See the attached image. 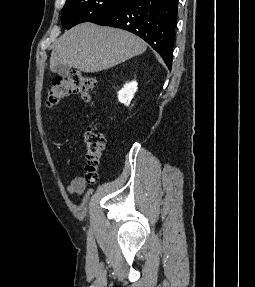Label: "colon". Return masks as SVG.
Segmentation results:
<instances>
[{"mask_svg":"<svg viewBox=\"0 0 255 287\" xmlns=\"http://www.w3.org/2000/svg\"><path fill=\"white\" fill-rule=\"evenodd\" d=\"M95 88L96 81L93 78L84 76L79 71H71L67 77L53 81L46 95V104L48 107H55L71 94H80L85 102H89ZM84 141L87 160L85 180L94 183L98 179L97 169L104 151L105 138L100 132L88 127Z\"/></svg>","mask_w":255,"mask_h":287,"instance_id":"1","label":"colon"}]
</instances>
